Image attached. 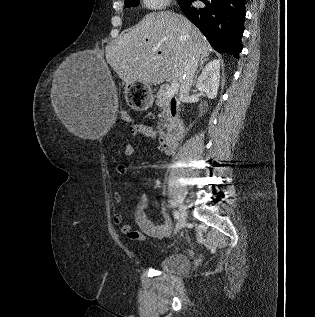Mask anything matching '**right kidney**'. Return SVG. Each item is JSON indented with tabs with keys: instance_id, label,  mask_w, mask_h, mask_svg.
<instances>
[{
	"instance_id": "right-kidney-1",
	"label": "right kidney",
	"mask_w": 315,
	"mask_h": 317,
	"mask_svg": "<svg viewBox=\"0 0 315 317\" xmlns=\"http://www.w3.org/2000/svg\"><path fill=\"white\" fill-rule=\"evenodd\" d=\"M219 83L220 60L214 59L203 69L196 87L199 91L204 92L209 99H214L217 96Z\"/></svg>"
}]
</instances>
